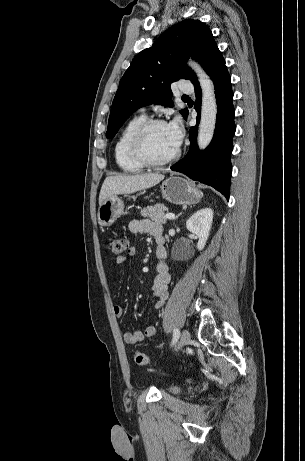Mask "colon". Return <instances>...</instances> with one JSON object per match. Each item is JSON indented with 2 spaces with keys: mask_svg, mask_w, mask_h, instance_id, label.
<instances>
[{
  "mask_svg": "<svg viewBox=\"0 0 305 461\" xmlns=\"http://www.w3.org/2000/svg\"><path fill=\"white\" fill-rule=\"evenodd\" d=\"M106 249L115 257L122 256L127 248V241L120 238H109L106 240ZM134 360L138 365H149L151 359L144 352L136 350L134 351ZM186 372H190V369H185Z\"/></svg>",
  "mask_w": 305,
  "mask_h": 461,
  "instance_id": "obj_1",
  "label": "colon"
}]
</instances>
